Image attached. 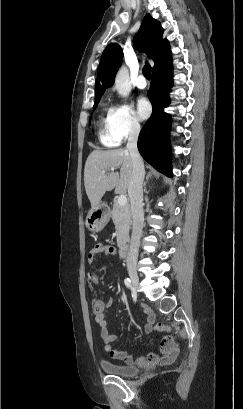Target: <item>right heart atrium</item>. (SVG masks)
Wrapping results in <instances>:
<instances>
[{
	"mask_svg": "<svg viewBox=\"0 0 243 409\" xmlns=\"http://www.w3.org/2000/svg\"><path fill=\"white\" fill-rule=\"evenodd\" d=\"M107 126L111 135L118 142L134 136L140 129L133 116L132 109L127 103H118L110 108L107 116Z\"/></svg>",
	"mask_w": 243,
	"mask_h": 409,
	"instance_id": "1",
	"label": "right heart atrium"
}]
</instances>
